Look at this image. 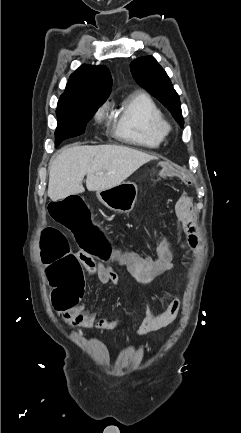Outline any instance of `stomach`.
Wrapping results in <instances>:
<instances>
[{
    "label": "stomach",
    "mask_w": 241,
    "mask_h": 433,
    "mask_svg": "<svg viewBox=\"0 0 241 433\" xmlns=\"http://www.w3.org/2000/svg\"><path fill=\"white\" fill-rule=\"evenodd\" d=\"M138 195V185L126 182L97 192L98 200L108 209L119 213H129L134 209Z\"/></svg>",
    "instance_id": "stomach-1"
}]
</instances>
